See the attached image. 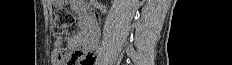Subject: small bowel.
<instances>
[{
  "mask_svg": "<svg viewBox=\"0 0 232 65\" xmlns=\"http://www.w3.org/2000/svg\"><path fill=\"white\" fill-rule=\"evenodd\" d=\"M68 46L70 48L82 46L86 51H93L96 47V41L88 40L83 31H78L69 37Z\"/></svg>",
  "mask_w": 232,
  "mask_h": 65,
  "instance_id": "small-bowel-1",
  "label": "small bowel"
}]
</instances>
